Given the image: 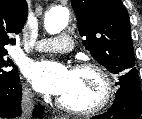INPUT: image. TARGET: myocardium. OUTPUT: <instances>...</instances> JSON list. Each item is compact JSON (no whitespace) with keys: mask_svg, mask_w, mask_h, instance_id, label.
<instances>
[{"mask_svg":"<svg viewBox=\"0 0 142 119\" xmlns=\"http://www.w3.org/2000/svg\"><path fill=\"white\" fill-rule=\"evenodd\" d=\"M83 70L93 71L94 73L97 74V76L101 80L102 92L98 102L95 105L88 108H78V107L67 104L61 98H58L56 100V104L58 105L59 108L77 115L97 114L100 111L104 110L111 102V99L114 93L113 82L109 73L106 71V69L97 63L80 62L76 64L72 69V71H83Z\"/></svg>","mask_w":142,"mask_h":119,"instance_id":"f54148a6","label":"myocardium"}]
</instances>
